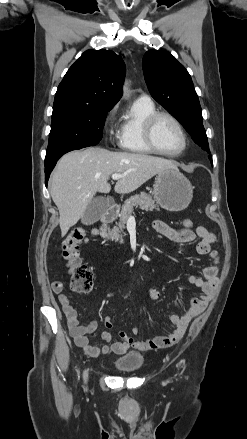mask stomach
Wrapping results in <instances>:
<instances>
[{
	"label": "stomach",
	"mask_w": 247,
	"mask_h": 439,
	"mask_svg": "<svg viewBox=\"0 0 247 439\" xmlns=\"http://www.w3.org/2000/svg\"><path fill=\"white\" fill-rule=\"evenodd\" d=\"M153 195L162 208L168 211H182L192 200L193 187L178 168H169L156 175Z\"/></svg>",
	"instance_id": "0dacf381"
}]
</instances>
